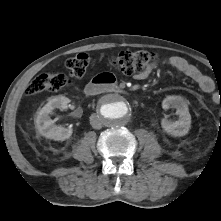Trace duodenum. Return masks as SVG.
I'll use <instances>...</instances> for the list:
<instances>
[{
  "mask_svg": "<svg viewBox=\"0 0 221 221\" xmlns=\"http://www.w3.org/2000/svg\"><path fill=\"white\" fill-rule=\"evenodd\" d=\"M121 90V87L116 85L113 79L106 75H99L86 85L85 94L87 96H94L106 91L118 92Z\"/></svg>",
  "mask_w": 221,
  "mask_h": 221,
  "instance_id": "duodenum-1",
  "label": "duodenum"
}]
</instances>
